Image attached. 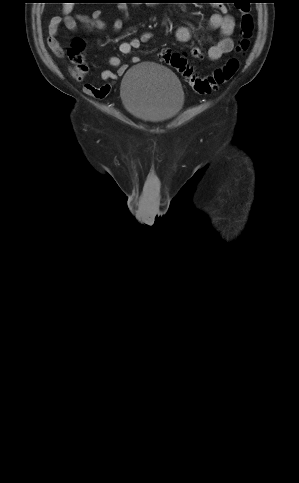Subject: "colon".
Returning a JSON list of instances; mask_svg holds the SVG:
<instances>
[{"mask_svg":"<svg viewBox=\"0 0 299 483\" xmlns=\"http://www.w3.org/2000/svg\"><path fill=\"white\" fill-rule=\"evenodd\" d=\"M254 21L249 11H244L241 17L240 30L241 39L238 42L236 51L239 54H245L250 46V40L253 34ZM84 41L75 39L71 47L67 51L69 61V72L76 79H83L88 72V65L82 54ZM159 59L176 69L181 76L189 83L192 89L202 95L210 94L220 86L230 81L239 69V59L237 57L230 58L224 65L217 68L212 74L200 76L195 69L187 62L186 58L177 52L162 51Z\"/></svg>","mask_w":299,"mask_h":483,"instance_id":"colon-1","label":"colon"}]
</instances>
